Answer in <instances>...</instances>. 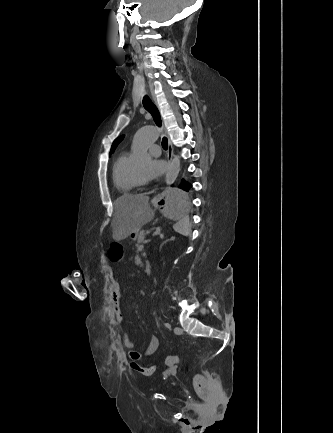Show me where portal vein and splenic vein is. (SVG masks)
<instances>
[{"label": "portal vein and splenic vein", "mask_w": 333, "mask_h": 433, "mask_svg": "<svg viewBox=\"0 0 333 433\" xmlns=\"http://www.w3.org/2000/svg\"><path fill=\"white\" fill-rule=\"evenodd\" d=\"M154 234H155V235H159L160 238H163V237H164L163 234L161 233V229H160V228H157ZM147 242H149V240H145V241H144V243H147Z\"/></svg>", "instance_id": "18ae733b"}]
</instances>
